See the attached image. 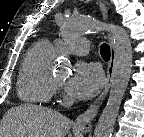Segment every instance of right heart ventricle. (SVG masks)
<instances>
[{
  "instance_id": "right-heart-ventricle-1",
  "label": "right heart ventricle",
  "mask_w": 144,
  "mask_h": 137,
  "mask_svg": "<svg viewBox=\"0 0 144 137\" xmlns=\"http://www.w3.org/2000/svg\"><path fill=\"white\" fill-rule=\"evenodd\" d=\"M55 47L46 40L35 43L27 51L17 80V93L28 104H46L55 89L52 84L51 61Z\"/></svg>"
}]
</instances>
